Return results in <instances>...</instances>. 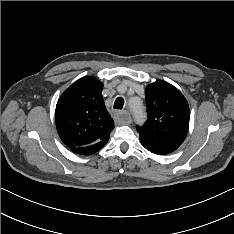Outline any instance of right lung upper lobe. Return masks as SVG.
<instances>
[{
	"label": "right lung upper lobe",
	"mask_w": 234,
	"mask_h": 234,
	"mask_svg": "<svg viewBox=\"0 0 234 234\" xmlns=\"http://www.w3.org/2000/svg\"><path fill=\"white\" fill-rule=\"evenodd\" d=\"M103 85L94 77H83L60 96L55 120L61 140L71 149L103 145L114 128L102 96Z\"/></svg>",
	"instance_id": "obj_1"
}]
</instances>
